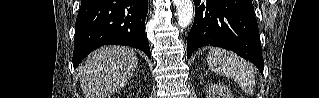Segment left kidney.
Listing matches in <instances>:
<instances>
[{
    "label": "left kidney",
    "instance_id": "5707ae66",
    "mask_svg": "<svg viewBox=\"0 0 319 98\" xmlns=\"http://www.w3.org/2000/svg\"><path fill=\"white\" fill-rule=\"evenodd\" d=\"M207 98H233V94L227 86L213 84L207 90Z\"/></svg>",
    "mask_w": 319,
    "mask_h": 98
}]
</instances>
